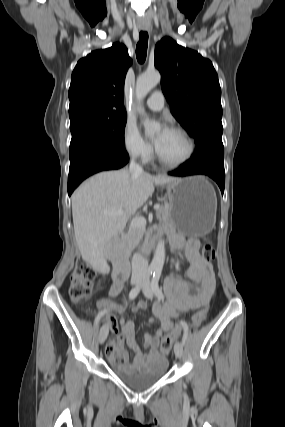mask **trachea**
Listing matches in <instances>:
<instances>
[{"label":"trachea","instance_id":"obj_1","mask_svg":"<svg viewBox=\"0 0 285 427\" xmlns=\"http://www.w3.org/2000/svg\"><path fill=\"white\" fill-rule=\"evenodd\" d=\"M140 40L136 46V57L139 63H144L147 55V47H148V33L140 32L139 34Z\"/></svg>","mask_w":285,"mask_h":427}]
</instances>
